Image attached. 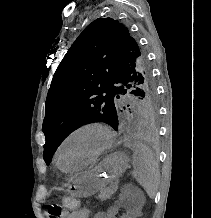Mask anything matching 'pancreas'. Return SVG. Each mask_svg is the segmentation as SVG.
<instances>
[{"instance_id":"obj_1","label":"pancreas","mask_w":211,"mask_h":218,"mask_svg":"<svg viewBox=\"0 0 211 218\" xmlns=\"http://www.w3.org/2000/svg\"><path fill=\"white\" fill-rule=\"evenodd\" d=\"M118 182H114V184H111L110 188H106V190H101L99 194L100 200H110L112 194H115L118 190L117 186Z\"/></svg>"}]
</instances>
